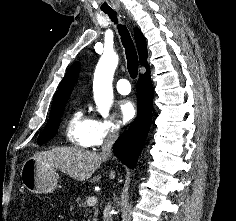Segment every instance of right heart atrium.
Instances as JSON below:
<instances>
[{
  "instance_id": "right-heart-atrium-1",
  "label": "right heart atrium",
  "mask_w": 236,
  "mask_h": 221,
  "mask_svg": "<svg viewBox=\"0 0 236 221\" xmlns=\"http://www.w3.org/2000/svg\"><path fill=\"white\" fill-rule=\"evenodd\" d=\"M121 131V124L116 119L95 118L89 134V146L93 148L100 147L106 142L112 141L118 137Z\"/></svg>"
}]
</instances>
